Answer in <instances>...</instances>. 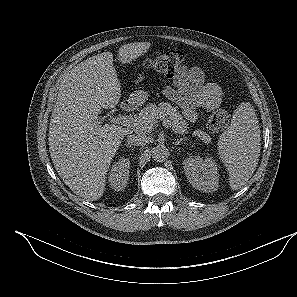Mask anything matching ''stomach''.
Wrapping results in <instances>:
<instances>
[{"mask_svg":"<svg viewBox=\"0 0 297 297\" xmlns=\"http://www.w3.org/2000/svg\"><path fill=\"white\" fill-rule=\"evenodd\" d=\"M148 99V93L146 91L138 90L130 95V100L137 104L141 105Z\"/></svg>","mask_w":297,"mask_h":297,"instance_id":"0dacf381","label":"stomach"}]
</instances>
